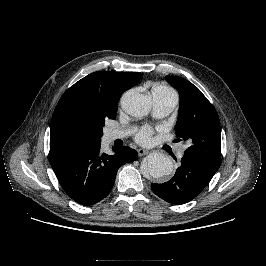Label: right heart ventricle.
Returning <instances> with one entry per match:
<instances>
[{"mask_svg": "<svg viewBox=\"0 0 266 266\" xmlns=\"http://www.w3.org/2000/svg\"><path fill=\"white\" fill-rule=\"evenodd\" d=\"M155 89H169V88H167V87H164V86H160V87H157V88H155ZM154 89V90H155ZM170 90V89H169Z\"/></svg>", "mask_w": 266, "mask_h": 266, "instance_id": "right-heart-ventricle-1", "label": "right heart ventricle"}]
</instances>
